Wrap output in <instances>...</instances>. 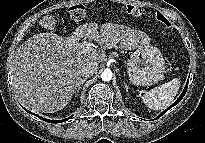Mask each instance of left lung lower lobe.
Segmentation results:
<instances>
[{"instance_id":"obj_1","label":"left lung lower lobe","mask_w":205,"mask_h":143,"mask_svg":"<svg viewBox=\"0 0 205 143\" xmlns=\"http://www.w3.org/2000/svg\"><path fill=\"white\" fill-rule=\"evenodd\" d=\"M188 82H189V80H188ZM188 82H187V84H186V86H185V88H184V90H183L181 96L178 98V100H177L173 105H171L168 109H166L165 111H163V112L161 113V115L158 116L157 118H160L165 112H167L169 109H171L173 106H175L177 103H179V102L181 101V99L184 97V95H185V93H186V91H187ZM157 118H156V119H157Z\"/></svg>"}]
</instances>
